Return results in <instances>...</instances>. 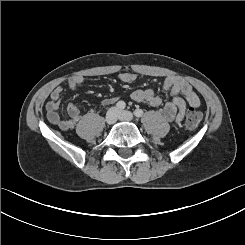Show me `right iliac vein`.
Here are the masks:
<instances>
[{
    "label": "right iliac vein",
    "mask_w": 245,
    "mask_h": 245,
    "mask_svg": "<svg viewBox=\"0 0 245 245\" xmlns=\"http://www.w3.org/2000/svg\"><path fill=\"white\" fill-rule=\"evenodd\" d=\"M118 116V110L116 107H112L106 113L105 121L107 124L112 125L116 122Z\"/></svg>",
    "instance_id": "right-iliac-vein-1"
}]
</instances>
